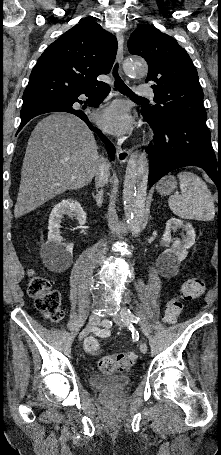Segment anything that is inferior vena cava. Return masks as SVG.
Instances as JSON below:
<instances>
[{"label":"inferior vena cava","instance_id":"1","mask_svg":"<svg viewBox=\"0 0 221 455\" xmlns=\"http://www.w3.org/2000/svg\"><path fill=\"white\" fill-rule=\"evenodd\" d=\"M109 163L104 162L95 176V186L96 188L103 187L109 181Z\"/></svg>","mask_w":221,"mask_h":455}]
</instances>
